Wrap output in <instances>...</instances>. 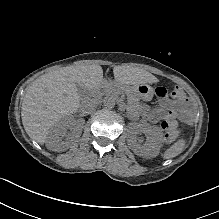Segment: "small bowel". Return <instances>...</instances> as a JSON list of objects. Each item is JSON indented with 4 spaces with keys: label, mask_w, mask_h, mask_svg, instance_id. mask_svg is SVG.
<instances>
[{
    "label": "small bowel",
    "mask_w": 219,
    "mask_h": 219,
    "mask_svg": "<svg viewBox=\"0 0 219 219\" xmlns=\"http://www.w3.org/2000/svg\"><path fill=\"white\" fill-rule=\"evenodd\" d=\"M156 94L159 100V106L151 108L144 106L142 108L143 116L151 122H157L162 114L177 110L180 112L181 119L185 122L192 121L194 117L193 106L186 95L175 98L165 89L157 88Z\"/></svg>",
    "instance_id": "1"
}]
</instances>
